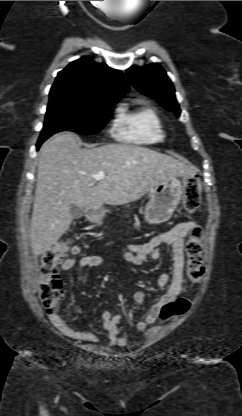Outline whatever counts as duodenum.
I'll list each match as a JSON object with an SVG mask.
<instances>
[{"label":"duodenum","instance_id":"duodenum-1","mask_svg":"<svg viewBox=\"0 0 242 416\" xmlns=\"http://www.w3.org/2000/svg\"><path fill=\"white\" fill-rule=\"evenodd\" d=\"M101 209L100 208H89L87 210V215L89 217H95L100 213Z\"/></svg>","mask_w":242,"mask_h":416}]
</instances>
